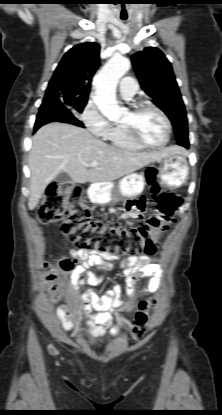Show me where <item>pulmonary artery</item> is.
I'll return each mask as SVG.
<instances>
[{
    "label": "pulmonary artery",
    "instance_id": "e3ab8cb5",
    "mask_svg": "<svg viewBox=\"0 0 222 415\" xmlns=\"http://www.w3.org/2000/svg\"><path fill=\"white\" fill-rule=\"evenodd\" d=\"M119 89L125 99H131L137 92V83L131 77H124L119 83Z\"/></svg>",
    "mask_w": 222,
    "mask_h": 415
}]
</instances>
